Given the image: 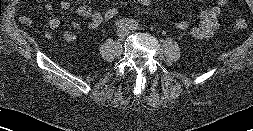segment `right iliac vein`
<instances>
[{
  "mask_svg": "<svg viewBox=\"0 0 253 131\" xmlns=\"http://www.w3.org/2000/svg\"><path fill=\"white\" fill-rule=\"evenodd\" d=\"M126 31L124 29H119L117 31V36L118 37H123L125 35Z\"/></svg>",
  "mask_w": 253,
  "mask_h": 131,
  "instance_id": "1",
  "label": "right iliac vein"
}]
</instances>
